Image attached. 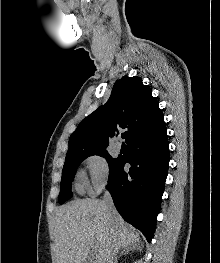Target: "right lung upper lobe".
I'll list each match as a JSON object with an SVG mask.
<instances>
[{
    "label": "right lung upper lobe",
    "mask_w": 220,
    "mask_h": 263,
    "mask_svg": "<svg viewBox=\"0 0 220 263\" xmlns=\"http://www.w3.org/2000/svg\"><path fill=\"white\" fill-rule=\"evenodd\" d=\"M125 129L126 143L141 134L166 129L158 102L140 77L124 76L112 89L108 101L87 116L72 133L68 153L106 149L108 136Z\"/></svg>",
    "instance_id": "1"
}]
</instances>
